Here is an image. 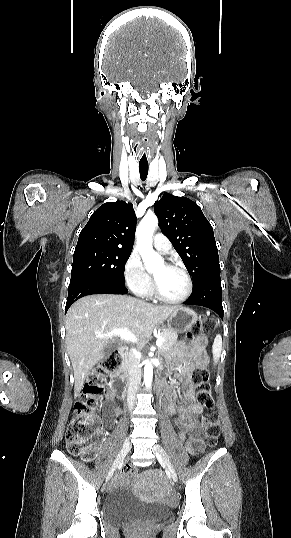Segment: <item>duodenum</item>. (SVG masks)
<instances>
[{"label":"duodenum","instance_id":"410a0bca","mask_svg":"<svg viewBox=\"0 0 291 538\" xmlns=\"http://www.w3.org/2000/svg\"><path fill=\"white\" fill-rule=\"evenodd\" d=\"M120 354L123 358V363L120 364L121 372L127 373V363H126L127 357H128L127 350L124 348L121 349ZM157 377H159V379L154 383V386L156 388H161L163 386V383L167 381L168 374L166 372H160L159 374H157ZM122 379H123V376L119 372H116L114 375H112V385H113L112 391L114 394H116L119 397H125L126 395V387H125L126 383Z\"/></svg>","mask_w":291,"mask_h":538}]
</instances>
